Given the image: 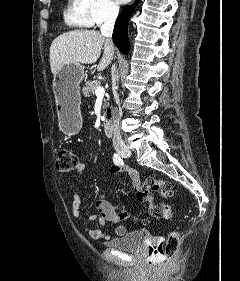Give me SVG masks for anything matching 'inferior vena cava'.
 Listing matches in <instances>:
<instances>
[{"mask_svg": "<svg viewBox=\"0 0 240 281\" xmlns=\"http://www.w3.org/2000/svg\"><path fill=\"white\" fill-rule=\"evenodd\" d=\"M119 13V7L112 4L110 5L104 24L100 27L101 34L106 37V40L109 42H112L111 37L114 29V24L116 21V18ZM118 79L116 66H112V80H113V94L114 98L117 104H119V96L117 94V91L115 89L116 81ZM122 116L121 108H114L113 109V120H114V136H113V144H122L123 140L120 134V128H119V120Z\"/></svg>", "mask_w": 240, "mask_h": 281, "instance_id": "inferior-vena-cava-1", "label": "inferior vena cava"}]
</instances>
